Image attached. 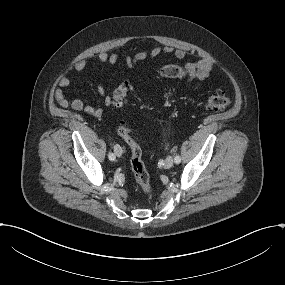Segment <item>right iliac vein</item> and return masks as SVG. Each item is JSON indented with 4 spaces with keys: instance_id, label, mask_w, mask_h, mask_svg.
Returning a JSON list of instances; mask_svg holds the SVG:
<instances>
[{
    "instance_id": "63e3f726",
    "label": "right iliac vein",
    "mask_w": 285,
    "mask_h": 285,
    "mask_svg": "<svg viewBox=\"0 0 285 285\" xmlns=\"http://www.w3.org/2000/svg\"><path fill=\"white\" fill-rule=\"evenodd\" d=\"M114 152H115L116 156H118V157H120L122 155V149H121L120 145L114 146Z\"/></svg>"
}]
</instances>
